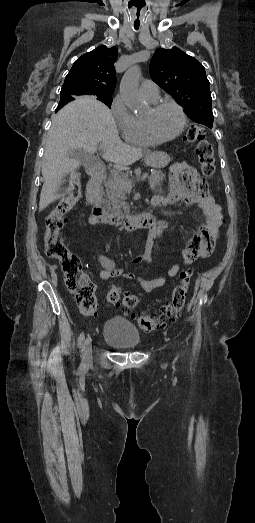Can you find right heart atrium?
Listing matches in <instances>:
<instances>
[{
	"mask_svg": "<svg viewBox=\"0 0 255 523\" xmlns=\"http://www.w3.org/2000/svg\"><path fill=\"white\" fill-rule=\"evenodd\" d=\"M110 112L115 121L116 128L123 134L130 112L127 110L122 95H116L110 105Z\"/></svg>",
	"mask_w": 255,
	"mask_h": 523,
	"instance_id": "right-heart-atrium-1",
	"label": "right heart atrium"
}]
</instances>
